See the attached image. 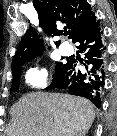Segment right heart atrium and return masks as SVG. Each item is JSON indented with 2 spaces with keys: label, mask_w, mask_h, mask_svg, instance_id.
<instances>
[{
  "label": "right heart atrium",
  "mask_w": 117,
  "mask_h": 136,
  "mask_svg": "<svg viewBox=\"0 0 117 136\" xmlns=\"http://www.w3.org/2000/svg\"><path fill=\"white\" fill-rule=\"evenodd\" d=\"M24 78L28 86L39 89L46 85L48 75L44 68L33 67L27 70Z\"/></svg>",
  "instance_id": "d8ad5b80"
}]
</instances>
